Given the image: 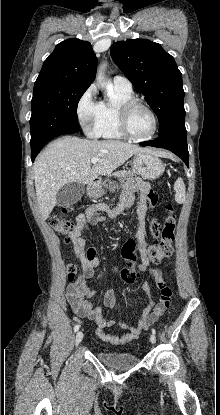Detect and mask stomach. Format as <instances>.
<instances>
[{
  "instance_id": "0dacf381",
  "label": "stomach",
  "mask_w": 220,
  "mask_h": 415,
  "mask_svg": "<svg viewBox=\"0 0 220 415\" xmlns=\"http://www.w3.org/2000/svg\"><path fill=\"white\" fill-rule=\"evenodd\" d=\"M133 170L146 180H154L159 178L164 172L163 162L155 155L150 153L135 154L133 161ZM117 185H112L111 190L116 189ZM87 193L90 197L99 198L104 191V184L101 181L93 182L87 188Z\"/></svg>"
}]
</instances>
